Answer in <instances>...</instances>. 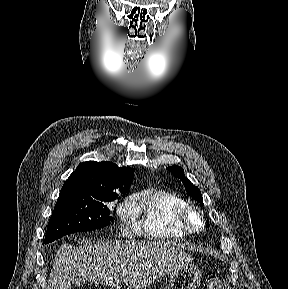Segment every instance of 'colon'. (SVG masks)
Instances as JSON below:
<instances>
[{
  "instance_id": "colon-1",
  "label": "colon",
  "mask_w": 288,
  "mask_h": 289,
  "mask_svg": "<svg viewBox=\"0 0 288 289\" xmlns=\"http://www.w3.org/2000/svg\"><path fill=\"white\" fill-rule=\"evenodd\" d=\"M207 289H230V286L224 279L211 276L207 279Z\"/></svg>"
}]
</instances>
